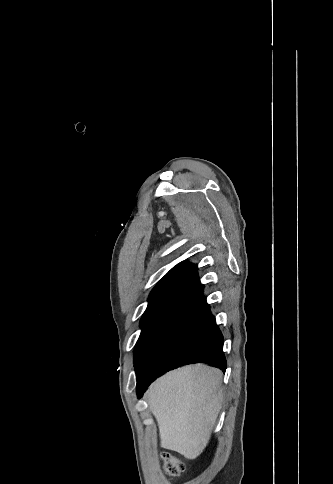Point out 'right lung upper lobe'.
<instances>
[{"instance_id": "cb5924a9", "label": "right lung upper lobe", "mask_w": 333, "mask_h": 484, "mask_svg": "<svg viewBox=\"0 0 333 484\" xmlns=\"http://www.w3.org/2000/svg\"><path fill=\"white\" fill-rule=\"evenodd\" d=\"M196 280H198L196 265L188 262L177 264L153 288L149 295V304H159Z\"/></svg>"}]
</instances>
